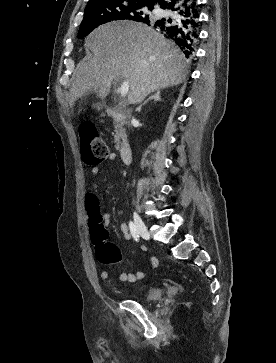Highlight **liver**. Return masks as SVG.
I'll return each mask as SVG.
<instances>
[{"mask_svg": "<svg viewBox=\"0 0 276 363\" xmlns=\"http://www.w3.org/2000/svg\"><path fill=\"white\" fill-rule=\"evenodd\" d=\"M85 47L93 56L78 65L70 105L92 90L106 98L112 81L119 79L128 81V102L137 104L154 91L179 85L188 73L180 50L143 23L115 21L99 26Z\"/></svg>", "mask_w": 276, "mask_h": 363, "instance_id": "1", "label": "liver"}]
</instances>
